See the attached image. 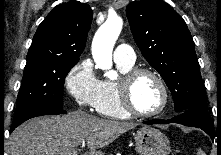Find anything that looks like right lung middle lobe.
Segmentation results:
<instances>
[{"label": "right lung middle lobe", "mask_w": 221, "mask_h": 155, "mask_svg": "<svg viewBox=\"0 0 221 155\" xmlns=\"http://www.w3.org/2000/svg\"><path fill=\"white\" fill-rule=\"evenodd\" d=\"M26 60L14 121L22 120L44 108H61L64 79L77 64L46 58Z\"/></svg>", "instance_id": "right-lung-middle-lobe-1"}]
</instances>
